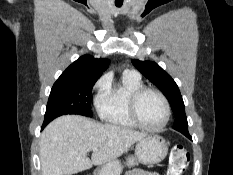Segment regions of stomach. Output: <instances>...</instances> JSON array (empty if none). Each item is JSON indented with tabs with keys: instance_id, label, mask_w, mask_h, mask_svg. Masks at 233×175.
<instances>
[{
	"instance_id": "stomach-1",
	"label": "stomach",
	"mask_w": 233,
	"mask_h": 175,
	"mask_svg": "<svg viewBox=\"0 0 233 175\" xmlns=\"http://www.w3.org/2000/svg\"><path fill=\"white\" fill-rule=\"evenodd\" d=\"M168 152L167 142L161 136L149 134L137 141L135 145V156L127 158L129 168L142 164H157L165 159ZM123 165L117 159L99 166L94 175H121Z\"/></svg>"
}]
</instances>
